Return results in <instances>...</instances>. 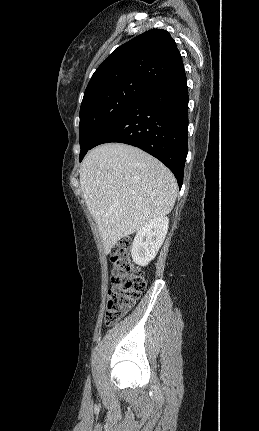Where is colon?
<instances>
[{
  "label": "colon",
  "instance_id": "obj_1",
  "mask_svg": "<svg viewBox=\"0 0 259 431\" xmlns=\"http://www.w3.org/2000/svg\"><path fill=\"white\" fill-rule=\"evenodd\" d=\"M131 246V239L124 238L110 253L111 285L104 316L108 326L119 321L133 307L146 287L142 272L131 261Z\"/></svg>",
  "mask_w": 259,
  "mask_h": 431
}]
</instances>
